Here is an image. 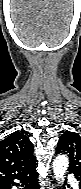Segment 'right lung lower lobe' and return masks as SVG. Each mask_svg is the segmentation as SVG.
<instances>
[{
    "label": "right lung lower lobe",
    "instance_id": "98d812e1",
    "mask_svg": "<svg viewBox=\"0 0 81 189\" xmlns=\"http://www.w3.org/2000/svg\"><path fill=\"white\" fill-rule=\"evenodd\" d=\"M35 168H36V165L32 167L30 170L15 177L14 179L20 180L24 184V185H21V186H24V189H39L38 179H37L38 174ZM14 179L0 184V189H11L12 186H18L19 184L15 183Z\"/></svg>",
    "mask_w": 81,
    "mask_h": 189
}]
</instances>
